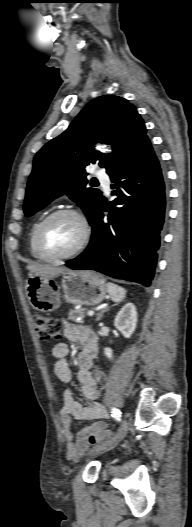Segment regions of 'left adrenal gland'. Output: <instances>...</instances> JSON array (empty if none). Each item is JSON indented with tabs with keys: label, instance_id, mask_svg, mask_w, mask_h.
I'll return each instance as SVG.
<instances>
[{
	"label": "left adrenal gland",
	"instance_id": "a2214340",
	"mask_svg": "<svg viewBox=\"0 0 192 527\" xmlns=\"http://www.w3.org/2000/svg\"><path fill=\"white\" fill-rule=\"evenodd\" d=\"M107 310H108V307L105 308V309H103L101 312H99V313L97 314V321H99V320L101 319L103 313L106 312Z\"/></svg>",
	"mask_w": 192,
	"mask_h": 527
}]
</instances>
